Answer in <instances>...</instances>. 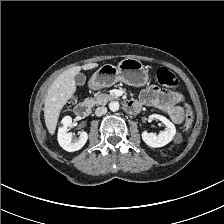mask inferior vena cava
I'll use <instances>...</instances> for the list:
<instances>
[{"label":"inferior vena cava","mask_w":224,"mask_h":224,"mask_svg":"<svg viewBox=\"0 0 224 224\" xmlns=\"http://www.w3.org/2000/svg\"><path fill=\"white\" fill-rule=\"evenodd\" d=\"M106 113H107V108L104 107V106H102V107H98V108L95 110V115L98 116V117H100V116H102V115H104V114H106Z\"/></svg>","instance_id":"1"}]
</instances>
